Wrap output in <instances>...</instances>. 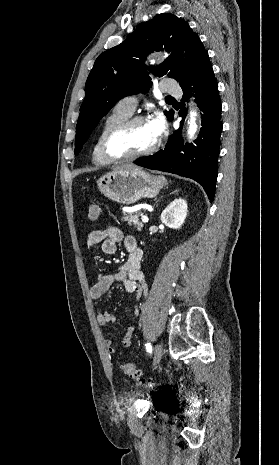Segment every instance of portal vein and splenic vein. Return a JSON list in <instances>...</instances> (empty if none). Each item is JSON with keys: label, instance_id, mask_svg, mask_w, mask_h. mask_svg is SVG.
I'll list each match as a JSON object with an SVG mask.
<instances>
[{"label": "portal vein and splenic vein", "instance_id": "portal-vein-and-splenic-vein-1", "mask_svg": "<svg viewBox=\"0 0 279 465\" xmlns=\"http://www.w3.org/2000/svg\"><path fill=\"white\" fill-rule=\"evenodd\" d=\"M141 220L142 222L147 223L149 219L146 215H142Z\"/></svg>", "mask_w": 279, "mask_h": 465}]
</instances>
